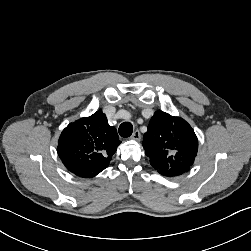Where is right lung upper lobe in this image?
<instances>
[{
	"mask_svg": "<svg viewBox=\"0 0 251 251\" xmlns=\"http://www.w3.org/2000/svg\"><path fill=\"white\" fill-rule=\"evenodd\" d=\"M58 155L66 168L80 177H94L104 170L121 143L115 127L98 110L70 123L61 133Z\"/></svg>",
	"mask_w": 251,
	"mask_h": 251,
	"instance_id": "cb5924a9",
	"label": "right lung upper lobe"
}]
</instances>
